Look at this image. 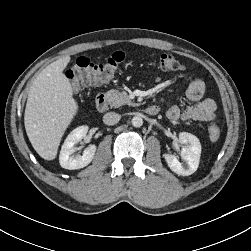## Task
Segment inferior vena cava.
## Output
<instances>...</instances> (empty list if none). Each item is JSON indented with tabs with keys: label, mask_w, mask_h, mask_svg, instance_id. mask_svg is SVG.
<instances>
[{
	"label": "inferior vena cava",
	"mask_w": 251,
	"mask_h": 251,
	"mask_svg": "<svg viewBox=\"0 0 251 251\" xmlns=\"http://www.w3.org/2000/svg\"><path fill=\"white\" fill-rule=\"evenodd\" d=\"M120 115L115 112H108L103 116V122L107 125H114L119 122Z\"/></svg>",
	"instance_id": "602c4592"
}]
</instances>
